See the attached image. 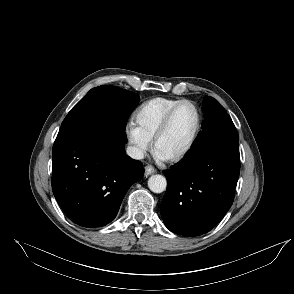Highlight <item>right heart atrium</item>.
Segmentation results:
<instances>
[{"mask_svg": "<svg viewBox=\"0 0 294 294\" xmlns=\"http://www.w3.org/2000/svg\"><path fill=\"white\" fill-rule=\"evenodd\" d=\"M125 132L134 155L136 157L143 156L149 150L151 140L147 138L133 122L127 124Z\"/></svg>", "mask_w": 294, "mask_h": 294, "instance_id": "obj_1", "label": "right heart atrium"}]
</instances>
